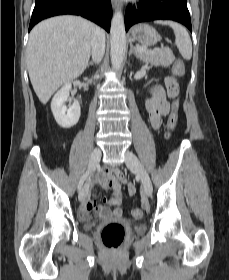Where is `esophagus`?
<instances>
[{
    "instance_id": "34e87169",
    "label": "esophagus",
    "mask_w": 229,
    "mask_h": 280,
    "mask_svg": "<svg viewBox=\"0 0 229 280\" xmlns=\"http://www.w3.org/2000/svg\"><path fill=\"white\" fill-rule=\"evenodd\" d=\"M111 4H112V7H113L114 9H117V8L120 7V2H119V0H111Z\"/></svg>"
}]
</instances>
